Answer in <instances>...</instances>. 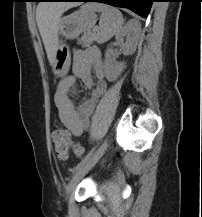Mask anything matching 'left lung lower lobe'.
I'll return each instance as SVG.
<instances>
[{
    "label": "left lung lower lobe",
    "mask_w": 202,
    "mask_h": 217,
    "mask_svg": "<svg viewBox=\"0 0 202 217\" xmlns=\"http://www.w3.org/2000/svg\"><path fill=\"white\" fill-rule=\"evenodd\" d=\"M41 1H76V2H101L116 7H125L139 16L146 18L149 15L152 3L155 0H41Z\"/></svg>",
    "instance_id": "0a47b994"
}]
</instances>
